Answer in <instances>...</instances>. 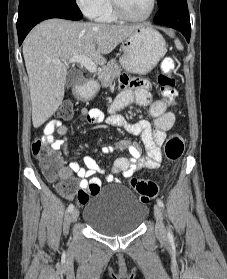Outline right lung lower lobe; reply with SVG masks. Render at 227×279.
Listing matches in <instances>:
<instances>
[{"mask_svg": "<svg viewBox=\"0 0 227 279\" xmlns=\"http://www.w3.org/2000/svg\"><path fill=\"white\" fill-rule=\"evenodd\" d=\"M83 17L76 2L70 0H20L17 20L19 45L39 22L50 18L80 20Z\"/></svg>", "mask_w": 227, "mask_h": 279, "instance_id": "obj_1", "label": "right lung lower lobe"}]
</instances>
